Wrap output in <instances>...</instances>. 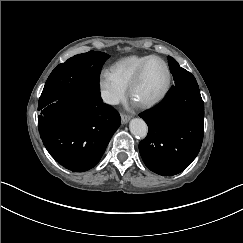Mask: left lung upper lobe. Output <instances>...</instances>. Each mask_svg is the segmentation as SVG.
<instances>
[{
    "label": "left lung upper lobe",
    "instance_id": "obj_1",
    "mask_svg": "<svg viewBox=\"0 0 243 243\" xmlns=\"http://www.w3.org/2000/svg\"><path fill=\"white\" fill-rule=\"evenodd\" d=\"M168 63L175 81V85L172 87L180 85H198L195 77L187 70L181 68L175 59L168 56Z\"/></svg>",
    "mask_w": 243,
    "mask_h": 243
}]
</instances>
